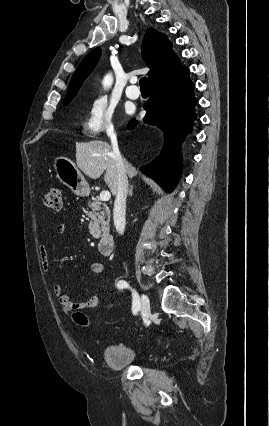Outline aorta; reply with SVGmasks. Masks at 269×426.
<instances>
[{"instance_id": "aorta-1", "label": "aorta", "mask_w": 269, "mask_h": 426, "mask_svg": "<svg viewBox=\"0 0 269 426\" xmlns=\"http://www.w3.org/2000/svg\"><path fill=\"white\" fill-rule=\"evenodd\" d=\"M112 82H113V78H112L111 74H108L107 76H105L104 81H103V84H104L105 87L111 86Z\"/></svg>"}]
</instances>
